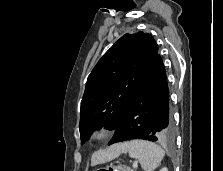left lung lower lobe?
I'll list each match as a JSON object with an SVG mask.
<instances>
[{"label": "left lung lower lobe", "instance_id": "1", "mask_svg": "<svg viewBox=\"0 0 223 171\" xmlns=\"http://www.w3.org/2000/svg\"><path fill=\"white\" fill-rule=\"evenodd\" d=\"M174 124L170 111L169 89L160 55L116 127L110 144L144 139L171 141Z\"/></svg>", "mask_w": 223, "mask_h": 171}]
</instances>
